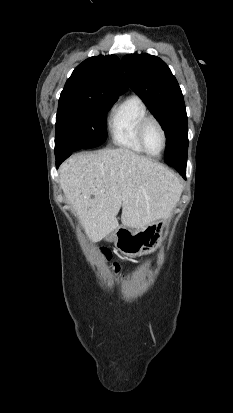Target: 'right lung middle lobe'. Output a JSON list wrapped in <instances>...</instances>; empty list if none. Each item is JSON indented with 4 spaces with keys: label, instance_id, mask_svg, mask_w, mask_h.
Returning a JSON list of instances; mask_svg holds the SVG:
<instances>
[{
    "label": "right lung middle lobe",
    "instance_id": "1",
    "mask_svg": "<svg viewBox=\"0 0 233 413\" xmlns=\"http://www.w3.org/2000/svg\"><path fill=\"white\" fill-rule=\"evenodd\" d=\"M117 98L61 94L56 115L55 155L105 142L106 114Z\"/></svg>",
    "mask_w": 233,
    "mask_h": 413
}]
</instances>
